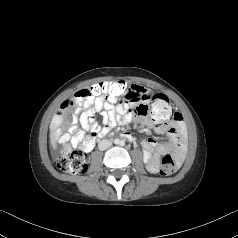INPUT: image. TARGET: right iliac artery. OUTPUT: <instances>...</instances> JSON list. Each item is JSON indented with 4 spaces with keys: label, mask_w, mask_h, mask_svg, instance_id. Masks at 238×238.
I'll list each match as a JSON object with an SVG mask.
<instances>
[{
    "label": "right iliac artery",
    "mask_w": 238,
    "mask_h": 238,
    "mask_svg": "<svg viewBox=\"0 0 238 238\" xmlns=\"http://www.w3.org/2000/svg\"><path fill=\"white\" fill-rule=\"evenodd\" d=\"M115 143L117 144V143H118V141H117V140H115Z\"/></svg>",
    "instance_id": "obj_1"
}]
</instances>
